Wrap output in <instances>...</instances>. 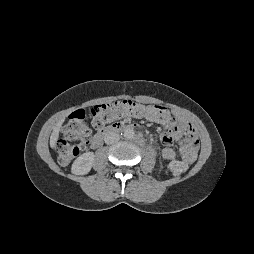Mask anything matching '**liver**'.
<instances>
[{
    "label": "liver",
    "mask_w": 254,
    "mask_h": 254,
    "mask_svg": "<svg viewBox=\"0 0 254 254\" xmlns=\"http://www.w3.org/2000/svg\"><path fill=\"white\" fill-rule=\"evenodd\" d=\"M65 118H62L60 119L56 125L54 126L53 128V131H52V134L50 136V147L51 148H55L56 147V143L58 141V138H59V131H60V128L64 122Z\"/></svg>",
    "instance_id": "liver-1"
}]
</instances>
